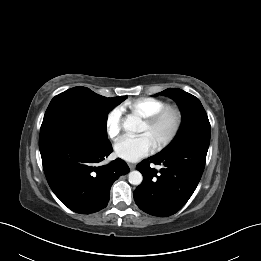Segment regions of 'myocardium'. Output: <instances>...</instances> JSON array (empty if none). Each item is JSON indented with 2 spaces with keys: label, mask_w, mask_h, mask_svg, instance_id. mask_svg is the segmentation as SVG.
<instances>
[{
  "label": "myocardium",
  "mask_w": 261,
  "mask_h": 261,
  "mask_svg": "<svg viewBox=\"0 0 261 261\" xmlns=\"http://www.w3.org/2000/svg\"><path fill=\"white\" fill-rule=\"evenodd\" d=\"M167 117L172 119V125L166 136L154 145V149L156 151H160L168 147L177 138L183 125V114L178 107L174 105H166L143 120V122L149 127H154Z\"/></svg>",
  "instance_id": "myocardium-1"
}]
</instances>
